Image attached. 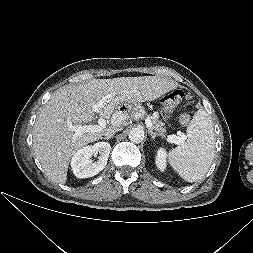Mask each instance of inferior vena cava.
I'll use <instances>...</instances> for the list:
<instances>
[{
	"label": "inferior vena cava",
	"mask_w": 253,
	"mask_h": 253,
	"mask_svg": "<svg viewBox=\"0 0 253 253\" xmlns=\"http://www.w3.org/2000/svg\"><path fill=\"white\" fill-rule=\"evenodd\" d=\"M121 129H112V130H110V131H107V132H105V137H109V136H112V135H114V133L115 132H117V131H120Z\"/></svg>",
	"instance_id": "1"
}]
</instances>
